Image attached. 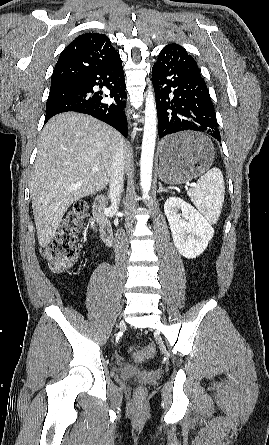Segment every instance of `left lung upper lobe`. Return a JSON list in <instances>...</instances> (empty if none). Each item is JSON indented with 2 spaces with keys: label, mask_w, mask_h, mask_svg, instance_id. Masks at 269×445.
Masks as SVG:
<instances>
[{
  "label": "left lung upper lobe",
  "mask_w": 269,
  "mask_h": 445,
  "mask_svg": "<svg viewBox=\"0 0 269 445\" xmlns=\"http://www.w3.org/2000/svg\"><path fill=\"white\" fill-rule=\"evenodd\" d=\"M173 46H178V45L177 44H170V45H167L165 48L173 47Z\"/></svg>",
  "instance_id": "1"
}]
</instances>
